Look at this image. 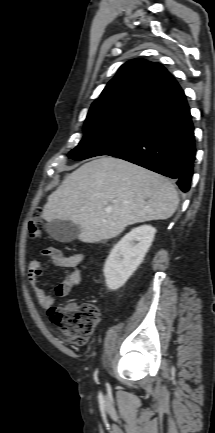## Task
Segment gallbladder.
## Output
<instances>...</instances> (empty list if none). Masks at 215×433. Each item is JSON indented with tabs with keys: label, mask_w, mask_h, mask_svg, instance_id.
<instances>
[{
	"label": "gallbladder",
	"mask_w": 215,
	"mask_h": 433,
	"mask_svg": "<svg viewBox=\"0 0 215 433\" xmlns=\"http://www.w3.org/2000/svg\"><path fill=\"white\" fill-rule=\"evenodd\" d=\"M48 234L56 241L69 243L80 233V226L71 221L53 220L46 225Z\"/></svg>",
	"instance_id": "bac80fb5"
}]
</instances>
